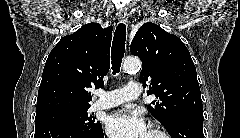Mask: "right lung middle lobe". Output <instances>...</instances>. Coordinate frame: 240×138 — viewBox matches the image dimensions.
<instances>
[{"label": "right lung middle lobe", "mask_w": 240, "mask_h": 138, "mask_svg": "<svg viewBox=\"0 0 240 138\" xmlns=\"http://www.w3.org/2000/svg\"><path fill=\"white\" fill-rule=\"evenodd\" d=\"M88 109L89 107L65 108L42 113L36 115L35 126L50 122H67L87 132L99 130L102 128L101 123L88 115Z\"/></svg>", "instance_id": "right-lung-middle-lobe-1"}]
</instances>
